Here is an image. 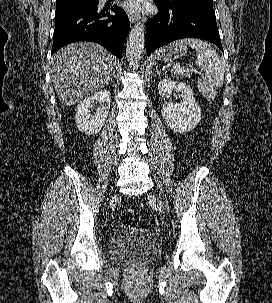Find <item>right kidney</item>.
I'll list each match as a JSON object with an SVG mask.
<instances>
[{"label":"right kidney","instance_id":"1","mask_svg":"<svg viewBox=\"0 0 272 303\" xmlns=\"http://www.w3.org/2000/svg\"><path fill=\"white\" fill-rule=\"evenodd\" d=\"M95 101L100 107L92 115L89 108ZM110 91L107 89L96 92L94 95L85 98L76 109L75 122L79 131L93 135L101 131L110 109Z\"/></svg>","mask_w":272,"mask_h":303}]
</instances>
